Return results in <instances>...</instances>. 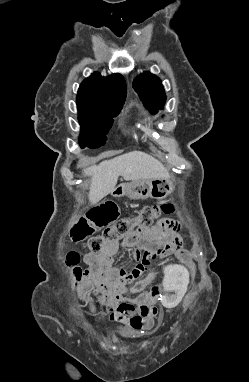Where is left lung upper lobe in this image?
<instances>
[{
    "label": "left lung upper lobe",
    "instance_id": "5c2ea615",
    "mask_svg": "<svg viewBox=\"0 0 249 382\" xmlns=\"http://www.w3.org/2000/svg\"><path fill=\"white\" fill-rule=\"evenodd\" d=\"M133 88L139 94L144 105L155 113L161 109L165 102L162 83L158 77L151 73H144L135 78Z\"/></svg>",
    "mask_w": 249,
    "mask_h": 382
}]
</instances>
